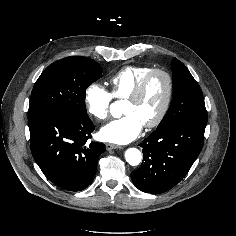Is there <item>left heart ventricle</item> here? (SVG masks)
I'll return each instance as SVG.
<instances>
[{
	"mask_svg": "<svg viewBox=\"0 0 236 236\" xmlns=\"http://www.w3.org/2000/svg\"><path fill=\"white\" fill-rule=\"evenodd\" d=\"M166 95V80L160 75H154L143 95L136 101L127 100L124 105V113L136 114L145 124L152 121L159 113Z\"/></svg>",
	"mask_w": 236,
	"mask_h": 236,
	"instance_id": "left-heart-ventricle-1",
	"label": "left heart ventricle"
}]
</instances>
